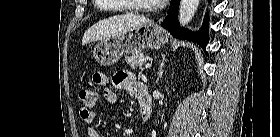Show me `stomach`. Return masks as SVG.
Masks as SVG:
<instances>
[{"instance_id":"1","label":"stomach","mask_w":280,"mask_h":137,"mask_svg":"<svg viewBox=\"0 0 280 137\" xmlns=\"http://www.w3.org/2000/svg\"><path fill=\"white\" fill-rule=\"evenodd\" d=\"M167 40L166 32L159 25L145 24L101 40L95 46L93 56L100 65L111 66L124 54L135 55L144 49L157 50Z\"/></svg>"}]
</instances>
